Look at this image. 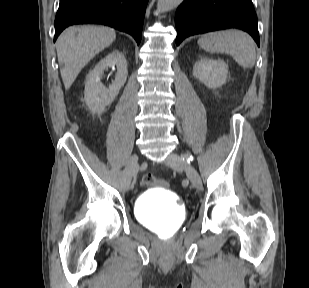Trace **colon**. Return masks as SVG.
I'll use <instances>...</instances> for the list:
<instances>
[{
    "label": "colon",
    "instance_id": "obj_1",
    "mask_svg": "<svg viewBox=\"0 0 309 288\" xmlns=\"http://www.w3.org/2000/svg\"><path fill=\"white\" fill-rule=\"evenodd\" d=\"M141 185L142 186H158L163 187L166 186V183L162 180H159L153 175H145L141 179Z\"/></svg>",
    "mask_w": 309,
    "mask_h": 288
}]
</instances>
